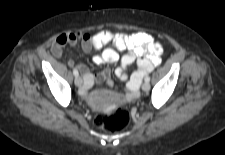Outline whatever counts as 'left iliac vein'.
<instances>
[{
	"label": "left iliac vein",
	"instance_id": "4c4485c4",
	"mask_svg": "<svg viewBox=\"0 0 225 155\" xmlns=\"http://www.w3.org/2000/svg\"><path fill=\"white\" fill-rule=\"evenodd\" d=\"M149 89H150L149 82H144L143 85H142V90L147 92V91H149Z\"/></svg>",
	"mask_w": 225,
	"mask_h": 155
}]
</instances>
